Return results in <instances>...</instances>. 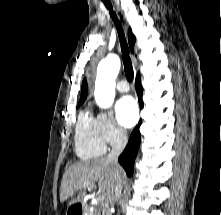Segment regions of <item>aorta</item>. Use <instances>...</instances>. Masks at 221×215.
I'll return each instance as SVG.
<instances>
[{"instance_id": "aorta-1", "label": "aorta", "mask_w": 221, "mask_h": 215, "mask_svg": "<svg viewBox=\"0 0 221 215\" xmlns=\"http://www.w3.org/2000/svg\"><path fill=\"white\" fill-rule=\"evenodd\" d=\"M120 58L111 54L100 61L95 81V101L101 108H108L115 98V79L120 70Z\"/></svg>"}]
</instances>
